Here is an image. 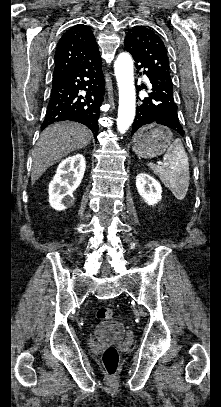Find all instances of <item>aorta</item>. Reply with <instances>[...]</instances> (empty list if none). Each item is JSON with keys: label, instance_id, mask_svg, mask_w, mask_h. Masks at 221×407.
<instances>
[{"label": "aorta", "instance_id": "762f6f07", "mask_svg": "<svg viewBox=\"0 0 221 407\" xmlns=\"http://www.w3.org/2000/svg\"><path fill=\"white\" fill-rule=\"evenodd\" d=\"M114 71L119 89L117 129L124 134L134 120L136 101L133 61L128 53L123 52L118 55L114 63Z\"/></svg>", "mask_w": 221, "mask_h": 407}]
</instances>
